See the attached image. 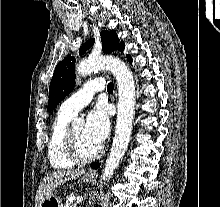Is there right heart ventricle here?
<instances>
[{
    "instance_id": "obj_1",
    "label": "right heart ventricle",
    "mask_w": 220,
    "mask_h": 207,
    "mask_svg": "<svg viewBox=\"0 0 220 207\" xmlns=\"http://www.w3.org/2000/svg\"><path fill=\"white\" fill-rule=\"evenodd\" d=\"M72 116L63 114L60 111L53 123L48 141V159L54 169H68L75 165L64 150V136L68 129Z\"/></svg>"
}]
</instances>
